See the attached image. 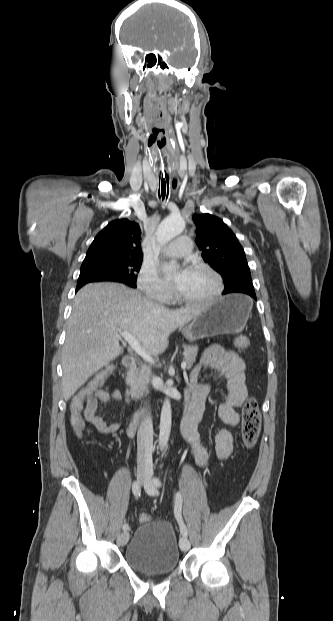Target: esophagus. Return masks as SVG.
Returning a JSON list of instances; mask_svg holds the SVG:
<instances>
[{"instance_id":"1","label":"esophagus","mask_w":333,"mask_h":621,"mask_svg":"<svg viewBox=\"0 0 333 621\" xmlns=\"http://www.w3.org/2000/svg\"><path fill=\"white\" fill-rule=\"evenodd\" d=\"M178 188V177H177V172L173 171L172 173V179H171V189L172 191H176Z\"/></svg>"}]
</instances>
